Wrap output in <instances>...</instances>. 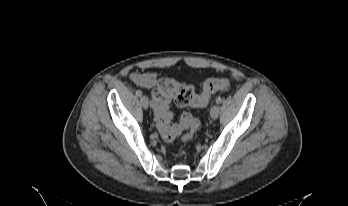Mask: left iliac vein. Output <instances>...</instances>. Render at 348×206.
I'll return each instance as SVG.
<instances>
[{
  "mask_svg": "<svg viewBox=\"0 0 348 206\" xmlns=\"http://www.w3.org/2000/svg\"><path fill=\"white\" fill-rule=\"evenodd\" d=\"M210 116L213 120L217 119L218 116H219V107L214 104L212 107H211V110H210Z\"/></svg>",
  "mask_w": 348,
  "mask_h": 206,
  "instance_id": "obj_1",
  "label": "left iliac vein"
}]
</instances>
